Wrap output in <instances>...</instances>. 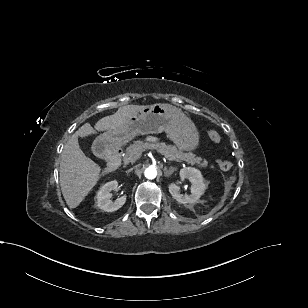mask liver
<instances>
[{"label": "liver", "instance_id": "6515ba94", "mask_svg": "<svg viewBox=\"0 0 308 308\" xmlns=\"http://www.w3.org/2000/svg\"><path fill=\"white\" fill-rule=\"evenodd\" d=\"M145 107L147 106H122L115 114L100 119L94 128L90 123H85L70 137L64 146L60 162V186L69 208H76L102 175L100 166L81 150L78 137H87L96 131L122 128L130 116Z\"/></svg>", "mask_w": 308, "mask_h": 308}]
</instances>
